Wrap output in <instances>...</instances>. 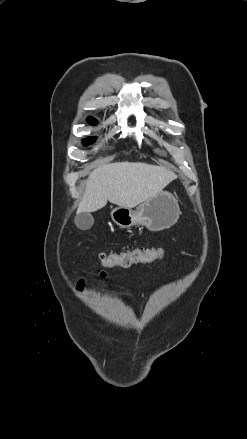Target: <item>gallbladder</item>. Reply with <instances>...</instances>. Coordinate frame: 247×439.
Returning <instances> with one entry per match:
<instances>
[{"label":"gallbladder","instance_id":"gallbladder-1","mask_svg":"<svg viewBox=\"0 0 247 439\" xmlns=\"http://www.w3.org/2000/svg\"><path fill=\"white\" fill-rule=\"evenodd\" d=\"M94 218L90 213L81 212L75 217V225L80 230H88L92 227Z\"/></svg>","mask_w":247,"mask_h":439}]
</instances>
